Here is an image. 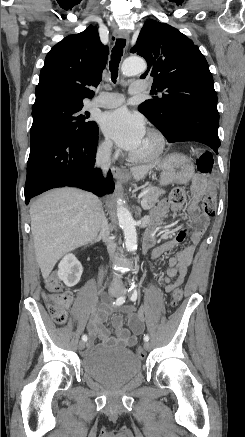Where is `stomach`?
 Returning <instances> with one entry per match:
<instances>
[{
    "instance_id": "1",
    "label": "stomach",
    "mask_w": 245,
    "mask_h": 437,
    "mask_svg": "<svg viewBox=\"0 0 245 437\" xmlns=\"http://www.w3.org/2000/svg\"><path fill=\"white\" fill-rule=\"evenodd\" d=\"M161 171L162 185L186 184L194 175L192 162L183 154L175 153L167 156L156 166Z\"/></svg>"
}]
</instances>
